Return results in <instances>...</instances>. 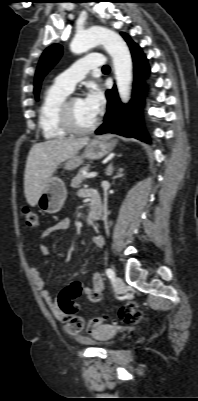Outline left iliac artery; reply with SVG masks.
<instances>
[{
	"instance_id": "44dca946",
	"label": "left iliac artery",
	"mask_w": 198,
	"mask_h": 401,
	"mask_svg": "<svg viewBox=\"0 0 198 401\" xmlns=\"http://www.w3.org/2000/svg\"><path fill=\"white\" fill-rule=\"evenodd\" d=\"M106 274H107V276H108L110 279H112V278L114 277V275H115V272H114L113 269L108 268V269L106 270Z\"/></svg>"
}]
</instances>
